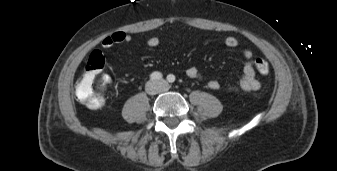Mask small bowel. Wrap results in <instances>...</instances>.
Here are the masks:
<instances>
[{
	"instance_id": "obj_1",
	"label": "small bowel",
	"mask_w": 337,
	"mask_h": 171,
	"mask_svg": "<svg viewBox=\"0 0 337 171\" xmlns=\"http://www.w3.org/2000/svg\"><path fill=\"white\" fill-rule=\"evenodd\" d=\"M133 38L129 33L123 31H116L111 35L104 37L101 41V46L104 49H110L114 45L122 44V43H130L132 42ZM146 44L151 47L155 48L161 44V40L158 37H150L147 39ZM225 46L229 48H235L238 46L239 42L235 37H227L224 40ZM243 58L245 63L243 65V72L239 83L236 86H229L227 88L230 92H250L256 91L260 88L261 84L259 80L256 78V72L253 62V52L250 49H246L243 51ZM185 74L188 78L203 80L204 76L200 72V70L194 66L188 67L185 71ZM104 81L108 84L112 83V78L109 75L104 77ZM206 84L210 89L217 90L220 88V83L216 79H208L206 80Z\"/></svg>"
}]
</instances>
